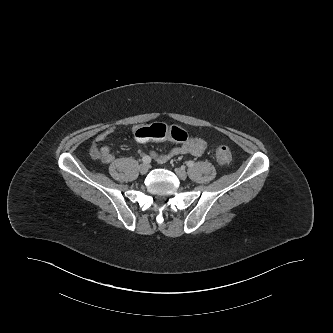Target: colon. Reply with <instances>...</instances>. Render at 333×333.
Instances as JSON below:
<instances>
[{"instance_id": "5ec220e1", "label": "colon", "mask_w": 333, "mask_h": 333, "mask_svg": "<svg viewBox=\"0 0 333 333\" xmlns=\"http://www.w3.org/2000/svg\"><path fill=\"white\" fill-rule=\"evenodd\" d=\"M135 138L138 141L171 139L183 142L187 139V133L178 126H167L162 123H154L136 130ZM216 159L221 164H227L232 160V152L227 146H219L216 150Z\"/></svg>"}]
</instances>
